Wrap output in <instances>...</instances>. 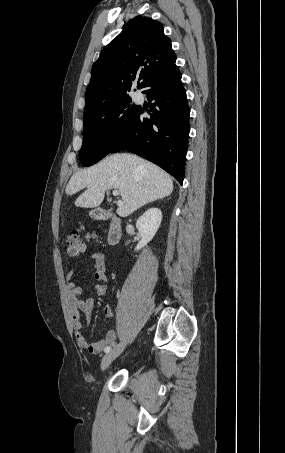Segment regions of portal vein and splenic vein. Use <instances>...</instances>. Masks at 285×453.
<instances>
[{"instance_id":"18ae733b","label":"portal vein and splenic vein","mask_w":285,"mask_h":453,"mask_svg":"<svg viewBox=\"0 0 285 453\" xmlns=\"http://www.w3.org/2000/svg\"><path fill=\"white\" fill-rule=\"evenodd\" d=\"M113 195L114 196H118L119 195V191L118 190H113ZM121 204V202H118V205Z\"/></svg>"}]
</instances>
